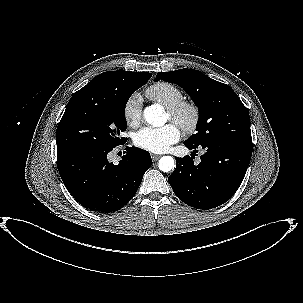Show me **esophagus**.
<instances>
[{
	"instance_id": "1",
	"label": "esophagus",
	"mask_w": 303,
	"mask_h": 303,
	"mask_svg": "<svg viewBox=\"0 0 303 303\" xmlns=\"http://www.w3.org/2000/svg\"><path fill=\"white\" fill-rule=\"evenodd\" d=\"M151 157H152V160H153V161H156V160H158V159L161 157V155L152 154Z\"/></svg>"
}]
</instances>
